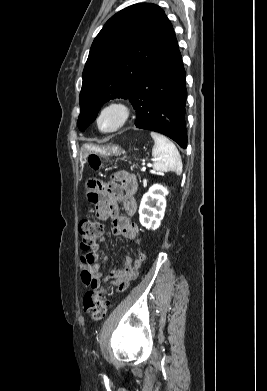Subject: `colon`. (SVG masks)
Listing matches in <instances>:
<instances>
[{
  "mask_svg": "<svg viewBox=\"0 0 267 391\" xmlns=\"http://www.w3.org/2000/svg\"><path fill=\"white\" fill-rule=\"evenodd\" d=\"M90 167L96 171L102 167V160L98 155L91 154L88 158ZM103 233V223L99 219L84 217L79 223V234L81 236V248L85 252H90L95 247L99 237ZM85 311L94 320L103 318L109 308L111 301L109 292L105 288L93 289L88 291L83 298Z\"/></svg>",
  "mask_w": 267,
  "mask_h": 391,
  "instance_id": "colon-1",
  "label": "colon"
}]
</instances>
